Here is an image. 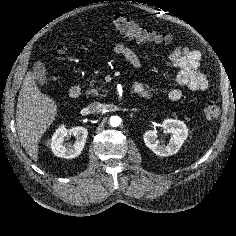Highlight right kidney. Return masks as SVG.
Returning <instances> with one entry per match:
<instances>
[{"label":"right kidney","mask_w":236,"mask_h":236,"mask_svg":"<svg viewBox=\"0 0 236 236\" xmlns=\"http://www.w3.org/2000/svg\"><path fill=\"white\" fill-rule=\"evenodd\" d=\"M69 135L75 137V142L65 143L64 140ZM88 131L82 126L73 127L69 130L61 125L53 134L51 139V149L55 156L72 159L80 155L84 148Z\"/></svg>","instance_id":"obj_1"}]
</instances>
